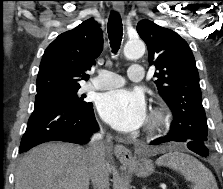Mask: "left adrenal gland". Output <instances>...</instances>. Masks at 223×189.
I'll return each instance as SVG.
<instances>
[{
  "label": "left adrenal gland",
  "mask_w": 223,
  "mask_h": 189,
  "mask_svg": "<svg viewBox=\"0 0 223 189\" xmlns=\"http://www.w3.org/2000/svg\"><path fill=\"white\" fill-rule=\"evenodd\" d=\"M142 189H146V186H143V188Z\"/></svg>",
  "instance_id": "a2214340"
}]
</instances>
